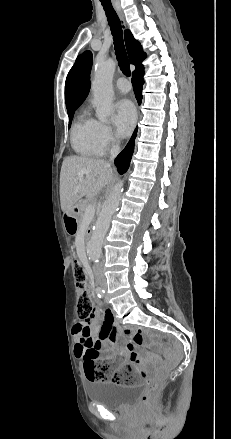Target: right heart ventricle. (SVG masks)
<instances>
[{"label": "right heart ventricle", "mask_w": 231, "mask_h": 439, "mask_svg": "<svg viewBox=\"0 0 231 439\" xmlns=\"http://www.w3.org/2000/svg\"><path fill=\"white\" fill-rule=\"evenodd\" d=\"M95 120L86 110H82L71 130V145L74 151L81 156H97L102 153L95 136Z\"/></svg>", "instance_id": "right-heart-ventricle-1"}]
</instances>
